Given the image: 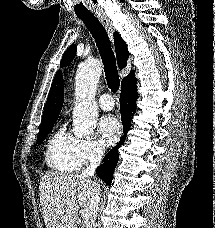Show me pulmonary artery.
<instances>
[{"mask_svg":"<svg viewBox=\"0 0 215 228\" xmlns=\"http://www.w3.org/2000/svg\"><path fill=\"white\" fill-rule=\"evenodd\" d=\"M99 106L105 110L109 111L114 108V101L112 99V96L109 94L102 95L99 98Z\"/></svg>","mask_w":215,"mask_h":228,"instance_id":"e3ab8cb5","label":"pulmonary artery"}]
</instances>
